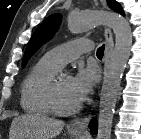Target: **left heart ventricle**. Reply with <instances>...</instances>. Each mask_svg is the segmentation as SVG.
<instances>
[{"instance_id": "left-heart-ventricle-1", "label": "left heart ventricle", "mask_w": 141, "mask_h": 139, "mask_svg": "<svg viewBox=\"0 0 141 139\" xmlns=\"http://www.w3.org/2000/svg\"><path fill=\"white\" fill-rule=\"evenodd\" d=\"M71 80L72 77L68 75H60L57 80L58 98L61 105L64 107H71L78 104L72 94Z\"/></svg>"}]
</instances>
